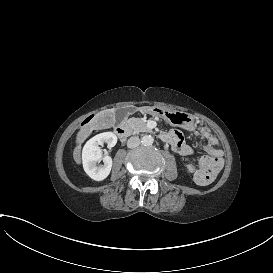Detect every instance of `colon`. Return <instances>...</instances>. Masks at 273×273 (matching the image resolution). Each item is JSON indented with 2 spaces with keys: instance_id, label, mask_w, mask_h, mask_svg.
Returning a JSON list of instances; mask_svg holds the SVG:
<instances>
[{
  "instance_id": "obj_1",
  "label": "colon",
  "mask_w": 273,
  "mask_h": 273,
  "mask_svg": "<svg viewBox=\"0 0 273 273\" xmlns=\"http://www.w3.org/2000/svg\"><path fill=\"white\" fill-rule=\"evenodd\" d=\"M220 153L213 154L211 157H204L200 161L202 171L198 174V181L202 185H209L220 172Z\"/></svg>"
}]
</instances>
